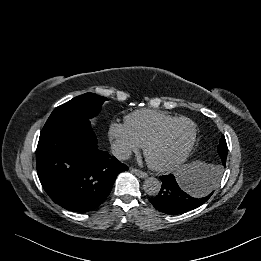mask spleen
Masks as SVG:
<instances>
[{
    "label": "spleen",
    "mask_w": 261,
    "mask_h": 261,
    "mask_svg": "<svg viewBox=\"0 0 261 261\" xmlns=\"http://www.w3.org/2000/svg\"><path fill=\"white\" fill-rule=\"evenodd\" d=\"M210 166L206 163L203 162H194L192 164H189L185 171L188 172L189 178L192 179L193 177H195V175H197L198 173L202 172V171H206L209 170ZM195 195H198L196 193H193Z\"/></svg>",
    "instance_id": "1"
}]
</instances>
